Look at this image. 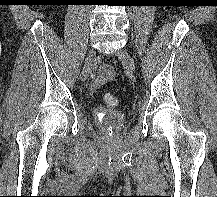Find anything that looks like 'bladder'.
I'll list each match as a JSON object with an SVG mask.
<instances>
[{"mask_svg":"<svg viewBox=\"0 0 217 197\" xmlns=\"http://www.w3.org/2000/svg\"><path fill=\"white\" fill-rule=\"evenodd\" d=\"M93 117L105 129L118 130L125 124V117L120 111L104 107L95 108Z\"/></svg>","mask_w":217,"mask_h":197,"instance_id":"31cf9c89","label":"bladder"}]
</instances>
